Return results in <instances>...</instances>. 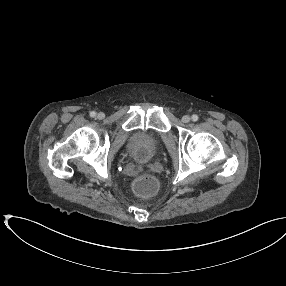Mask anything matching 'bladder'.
<instances>
[{"mask_svg":"<svg viewBox=\"0 0 286 286\" xmlns=\"http://www.w3.org/2000/svg\"><path fill=\"white\" fill-rule=\"evenodd\" d=\"M135 160L140 163L149 162L159 147L158 138L143 131L134 133L128 143Z\"/></svg>","mask_w":286,"mask_h":286,"instance_id":"bladder-1","label":"bladder"}]
</instances>
